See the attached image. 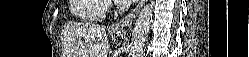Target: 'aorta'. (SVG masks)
<instances>
[{
  "label": "aorta",
  "mask_w": 249,
  "mask_h": 57,
  "mask_svg": "<svg viewBox=\"0 0 249 57\" xmlns=\"http://www.w3.org/2000/svg\"><path fill=\"white\" fill-rule=\"evenodd\" d=\"M152 17L153 4L149 3L142 8L136 20L131 39L129 56L140 57L142 55L144 43L147 39L149 28L152 22Z\"/></svg>",
  "instance_id": "762f6f07"
}]
</instances>
